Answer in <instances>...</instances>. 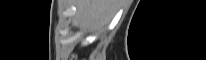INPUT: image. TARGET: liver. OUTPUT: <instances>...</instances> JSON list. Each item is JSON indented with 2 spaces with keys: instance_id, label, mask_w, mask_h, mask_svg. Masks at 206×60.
<instances>
[{
  "instance_id": "liver-1",
  "label": "liver",
  "mask_w": 206,
  "mask_h": 60,
  "mask_svg": "<svg viewBox=\"0 0 206 60\" xmlns=\"http://www.w3.org/2000/svg\"><path fill=\"white\" fill-rule=\"evenodd\" d=\"M76 19L91 29L106 27L118 12L120 0H73Z\"/></svg>"
}]
</instances>
